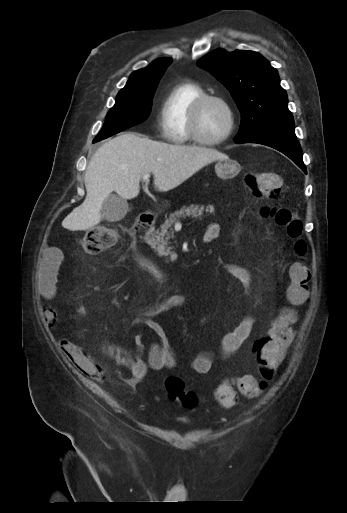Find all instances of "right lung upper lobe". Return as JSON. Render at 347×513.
<instances>
[{
	"label": "right lung upper lobe",
	"mask_w": 347,
	"mask_h": 513,
	"mask_svg": "<svg viewBox=\"0 0 347 513\" xmlns=\"http://www.w3.org/2000/svg\"><path fill=\"white\" fill-rule=\"evenodd\" d=\"M171 61V58H160L152 62L148 67L133 72L122 90H134L150 83L159 82Z\"/></svg>",
	"instance_id": "1"
}]
</instances>
